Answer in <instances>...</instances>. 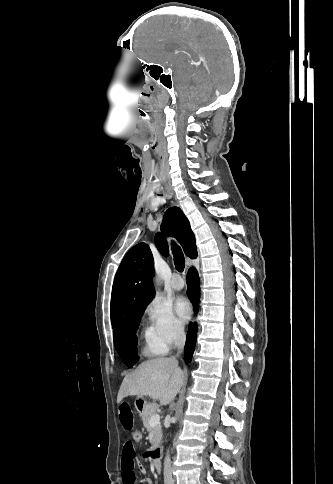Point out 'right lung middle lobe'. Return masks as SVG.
Masks as SVG:
<instances>
[{
	"label": "right lung middle lobe",
	"mask_w": 333,
	"mask_h": 484,
	"mask_svg": "<svg viewBox=\"0 0 333 484\" xmlns=\"http://www.w3.org/2000/svg\"><path fill=\"white\" fill-rule=\"evenodd\" d=\"M144 310L129 315L114 334V345L122 360L130 368L138 360L136 329Z\"/></svg>",
	"instance_id": "right-lung-middle-lobe-1"
}]
</instances>
